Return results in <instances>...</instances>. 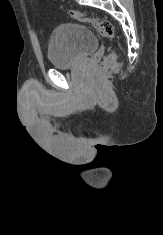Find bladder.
<instances>
[{
  "label": "bladder",
  "instance_id": "1",
  "mask_svg": "<svg viewBox=\"0 0 163 235\" xmlns=\"http://www.w3.org/2000/svg\"><path fill=\"white\" fill-rule=\"evenodd\" d=\"M97 48L98 39L93 30L83 24L66 23L53 30L48 57L54 68L64 69L73 67Z\"/></svg>",
  "mask_w": 163,
  "mask_h": 235
}]
</instances>
